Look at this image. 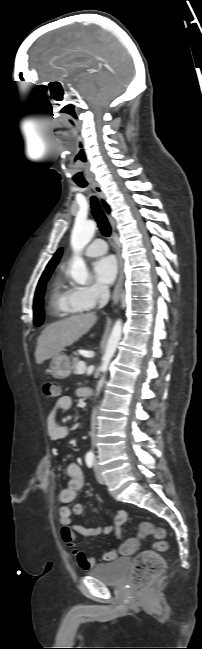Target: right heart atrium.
<instances>
[{"label": "right heart atrium", "mask_w": 202, "mask_h": 649, "mask_svg": "<svg viewBox=\"0 0 202 649\" xmlns=\"http://www.w3.org/2000/svg\"><path fill=\"white\" fill-rule=\"evenodd\" d=\"M106 296L107 289L99 284L76 289V300L84 309L94 308Z\"/></svg>", "instance_id": "right-heart-atrium-1"}]
</instances>
